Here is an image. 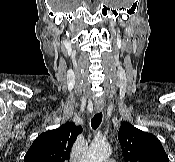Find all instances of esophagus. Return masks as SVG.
<instances>
[{"mask_svg":"<svg viewBox=\"0 0 175 162\" xmlns=\"http://www.w3.org/2000/svg\"><path fill=\"white\" fill-rule=\"evenodd\" d=\"M103 110L102 107H95V112L100 113Z\"/></svg>","mask_w":175,"mask_h":162,"instance_id":"1","label":"esophagus"}]
</instances>
